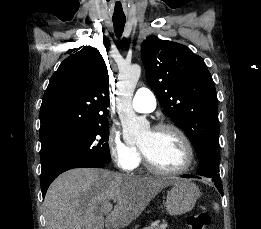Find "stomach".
<instances>
[{"label": "stomach", "instance_id": "1", "mask_svg": "<svg viewBox=\"0 0 261 229\" xmlns=\"http://www.w3.org/2000/svg\"><path fill=\"white\" fill-rule=\"evenodd\" d=\"M172 189L167 193V211L169 215H185L192 211L197 199L200 197V191L195 183L180 179L172 181Z\"/></svg>", "mask_w": 261, "mask_h": 229}]
</instances>
